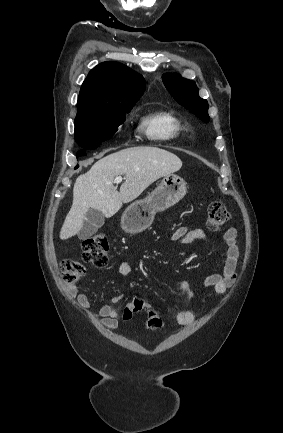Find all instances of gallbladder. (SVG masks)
Returning <instances> with one entry per match:
<instances>
[{"mask_svg":"<svg viewBox=\"0 0 283 433\" xmlns=\"http://www.w3.org/2000/svg\"><path fill=\"white\" fill-rule=\"evenodd\" d=\"M105 217L101 210L98 208H89L85 214V219H83V227L78 235V239H89L94 233H97L98 229L104 225Z\"/></svg>","mask_w":283,"mask_h":433,"instance_id":"gallbladder-1","label":"gallbladder"}]
</instances>
